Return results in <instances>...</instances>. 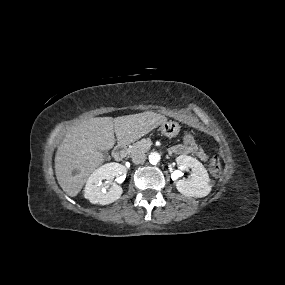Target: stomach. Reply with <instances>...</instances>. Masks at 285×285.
<instances>
[{"label": "stomach", "instance_id": "1", "mask_svg": "<svg viewBox=\"0 0 285 285\" xmlns=\"http://www.w3.org/2000/svg\"><path fill=\"white\" fill-rule=\"evenodd\" d=\"M160 130L165 136L173 137L179 133L180 126L175 121L164 122L161 125Z\"/></svg>", "mask_w": 285, "mask_h": 285}]
</instances>
